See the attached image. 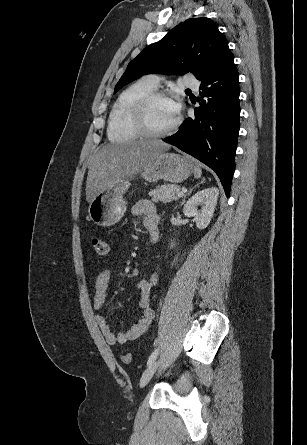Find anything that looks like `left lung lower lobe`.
Returning a JSON list of instances; mask_svg holds the SVG:
<instances>
[{
    "mask_svg": "<svg viewBox=\"0 0 307 445\" xmlns=\"http://www.w3.org/2000/svg\"><path fill=\"white\" fill-rule=\"evenodd\" d=\"M200 89L201 106L195 108V117L187 118L174 135L163 141L213 169L229 197L240 117L238 71L233 56L201 80Z\"/></svg>",
    "mask_w": 307,
    "mask_h": 445,
    "instance_id": "0a47b994",
    "label": "left lung lower lobe"
}]
</instances>
